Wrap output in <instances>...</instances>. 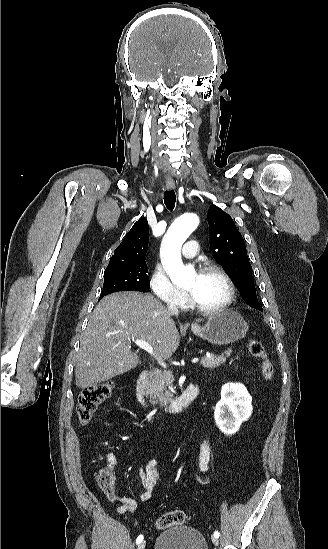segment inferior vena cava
Masks as SVG:
<instances>
[{
    "label": "inferior vena cava",
    "instance_id": "inferior-vena-cava-1",
    "mask_svg": "<svg viewBox=\"0 0 328 549\" xmlns=\"http://www.w3.org/2000/svg\"><path fill=\"white\" fill-rule=\"evenodd\" d=\"M167 311L169 315H178L179 305H177V303H173V301H169V303H167Z\"/></svg>",
    "mask_w": 328,
    "mask_h": 549
}]
</instances>
